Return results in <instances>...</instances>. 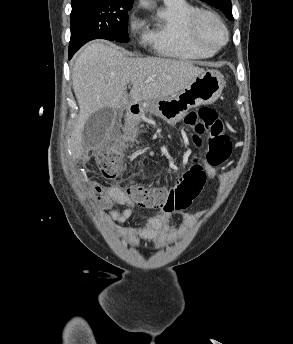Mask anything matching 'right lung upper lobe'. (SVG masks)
Segmentation results:
<instances>
[{
  "instance_id": "1",
  "label": "right lung upper lobe",
  "mask_w": 293,
  "mask_h": 344,
  "mask_svg": "<svg viewBox=\"0 0 293 344\" xmlns=\"http://www.w3.org/2000/svg\"><path fill=\"white\" fill-rule=\"evenodd\" d=\"M83 0H72L71 4H76L78 2H81ZM100 1H105V2H117V3H133V0H100Z\"/></svg>"
}]
</instances>
